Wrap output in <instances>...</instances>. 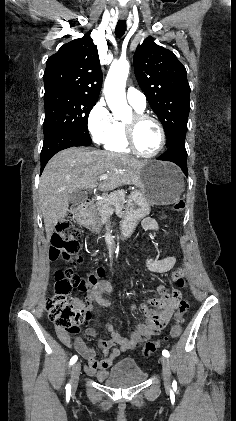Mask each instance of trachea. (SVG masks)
Listing matches in <instances>:
<instances>
[{
	"label": "trachea",
	"instance_id": "trachea-1",
	"mask_svg": "<svg viewBox=\"0 0 236 421\" xmlns=\"http://www.w3.org/2000/svg\"><path fill=\"white\" fill-rule=\"evenodd\" d=\"M126 32V21L125 20H118L116 28H115V35L117 38L123 37Z\"/></svg>",
	"mask_w": 236,
	"mask_h": 421
}]
</instances>
